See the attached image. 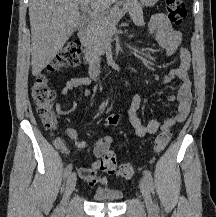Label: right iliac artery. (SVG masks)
I'll use <instances>...</instances> for the list:
<instances>
[{
    "label": "right iliac artery",
    "mask_w": 216,
    "mask_h": 217,
    "mask_svg": "<svg viewBox=\"0 0 216 217\" xmlns=\"http://www.w3.org/2000/svg\"><path fill=\"white\" fill-rule=\"evenodd\" d=\"M71 171H72V164H69L64 171V177L67 178L71 174Z\"/></svg>",
    "instance_id": "1"
}]
</instances>
